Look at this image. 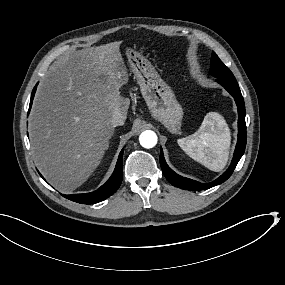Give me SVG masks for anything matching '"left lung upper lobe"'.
Instances as JSON below:
<instances>
[{
    "mask_svg": "<svg viewBox=\"0 0 285 285\" xmlns=\"http://www.w3.org/2000/svg\"><path fill=\"white\" fill-rule=\"evenodd\" d=\"M210 74L213 77L221 80L235 79L229 68L223 64V62L218 58V56L214 52L212 53L211 56Z\"/></svg>",
    "mask_w": 285,
    "mask_h": 285,
    "instance_id": "1",
    "label": "left lung upper lobe"
}]
</instances>
